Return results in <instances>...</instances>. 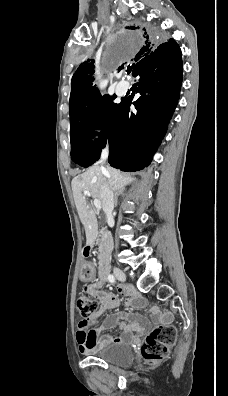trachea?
I'll list each match as a JSON object with an SVG mask.
<instances>
[{
  "instance_id": "1",
  "label": "trachea",
  "mask_w": 228,
  "mask_h": 396,
  "mask_svg": "<svg viewBox=\"0 0 228 396\" xmlns=\"http://www.w3.org/2000/svg\"><path fill=\"white\" fill-rule=\"evenodd\" d=\"M126 72L129 74V73L131 72V70H130V69H128V70H126Z\"/></svg>"
}]
</instances>
